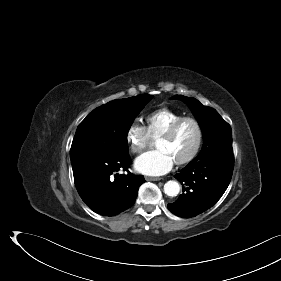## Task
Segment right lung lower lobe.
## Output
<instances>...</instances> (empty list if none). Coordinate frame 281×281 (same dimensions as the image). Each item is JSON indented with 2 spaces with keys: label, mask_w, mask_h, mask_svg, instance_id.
Returning <instances> with one entry per match:
<instances>
[{
  "label": "right lung lower lobe",
  "mask_w": 281,
  "mask_h": 281,
  "mask_svg": "<svg viewBox=\"0 0 281 281\" xmlns=\"http://www.w3.org/2000/svg\"><path fill=\"white\" fill-rule=\"evenodd\" d=\"M131 162L127 155L116 159L86 158L72 163L76 189L94 212L113 216L134 204L139 186L145 182L144 177L117 174L119 170L128 171Z\"/></svg>",
  "instance_id": "obj_1"
}]
</instances>
